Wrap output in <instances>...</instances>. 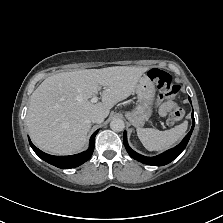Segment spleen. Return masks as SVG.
<instances>
[{
  "label": "spleen",
  "instance_id": "1",
  "mask_svg": "<svg viewBox=\"0 0 223 223\" xmlns=\"http://www.w3.org/2000/svg\"><path fill=\"white\" fill-rule=\"evenodd\" d=\"M188 128V121L184 120L179 126L166 131L155 129L137 128V134L149 151H165L178 143L185 135Z\"/></svg>",
  "mask_w": 223,
  "mask_h": 223
}]
</instances>
